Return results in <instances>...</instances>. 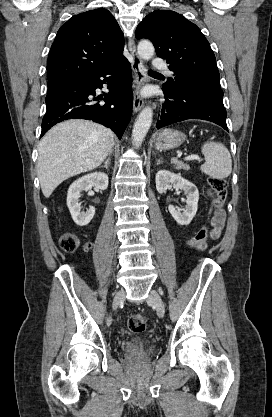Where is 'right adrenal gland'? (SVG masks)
Returning <instances> with one entry per match:
<instances>
[{
    "instance_id": "1",
    "label": "right adrenal gland",
    "mask_w": 272,
    "mask_h": 417,
    "mask_svg": "<svg viewBox=\"0 0 272 417\" xmlns=\"http://www.w3.org/2000/svg\"><path fill=\"white\" fill-rule=\"evenodd\" d=\"M110 163H111V159L107 158L104 162V165H101L100 167H104L108 170Z\"/></svg>"
}]
</instances>
